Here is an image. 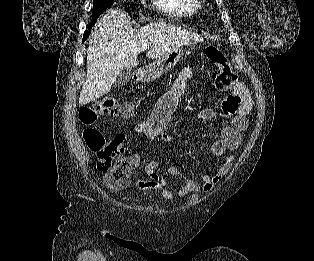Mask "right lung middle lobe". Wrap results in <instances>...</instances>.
I'll return each mask as SVG.
<instances>
[{"label": "right lung middle lobe", "instance_id": "obj_1", "mask_svg": "<svg viewBox=\"0 0 314 261\" xmlns=\"http://www.w3.org/2000/svg\"><path fill=\"white\" fill-rule=\"evenodd\" d=\"M114 0H93L92 21L89 26H93L98 16L113 4Z\"/></svg>", "mask_w": 314, "mask_h": 261}]
</instances>
